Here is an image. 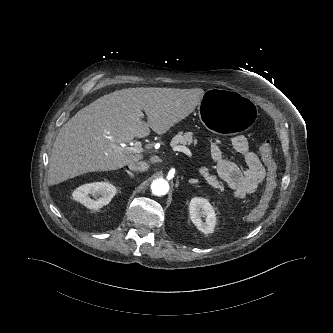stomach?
I'll use <instances>...</instances> for the list:
<instances>
[{"mask_svg":"<svg viewBox=\"0 0 333 333\" xmlns=\"http://www.w3.org/2000/svg\"><path fill=\"white\" fill-rule=\"evenodd\" d=\"M199 117L216 135H241L254 122L256 107L245 98L227 90L208 92L201 100Z\"/></svg>","mask_w":333,"mask_h":333,"instance_id":"0dacf381","label":"stomach"}]
</instances>
